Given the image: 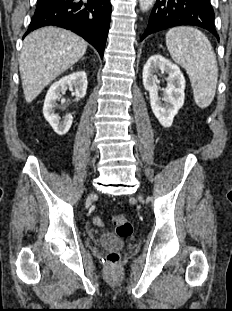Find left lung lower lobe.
I'll list each match as a JSON object with an SVG mask.
<instances>
[{"label":"left lung lower lobe","mask_w":232,"mask_h":311,"mask_svg":"<svg viewBox=\"0 0 232 311\" xmlns=\"http://www.w3.org/2000/svg\"><path fill=\"white\" fill-rule=\"evenodd\" d=\"M214 18L210 0H157L141 41L149 34L179 25L205 28L219 39Z\"/></svg>","instance_id":"obj_1"}]
</instances>
